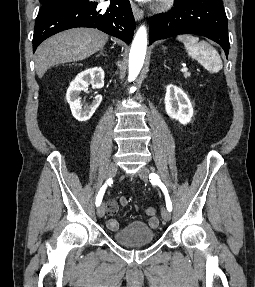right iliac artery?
Segmentation results:
<instances>
[{
  "label": "right iliac artery",
  "mask_w": 255,
  "mask_h": 287,
  "mask_svg": "<svg viewBox=\"0 0 255 287\" xmlns=\"http://www.w3.org/2000/svg\"><path fill=\"white\" fill-rule=\"evenodd\" d=\"M112 183V180L109 179L100 189L97 197H96V206H99L102 202V198H103V195L105 193V190L107 188V185H110Z\"/></svg>",
  "instance_id": "1"
}]
</instances>
